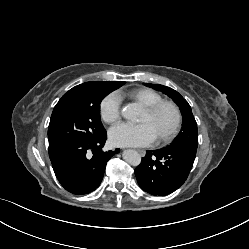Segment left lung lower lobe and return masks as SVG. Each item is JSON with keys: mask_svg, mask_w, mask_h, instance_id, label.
<instances>
[{"mask_svg": "<svg viewBox=\"0 0 249 249\" xmlns=\"http://www.w3.org/2000/svg\"><path fill=\"white\" fill-rule=\"evenodd\" d=\"M196 156L191 148H169L147 151L135 169L139 186L152 195H167L187 179Z\"/></svg>", "mask_w": 249, "mask_h": 249, "instance_id": "left-lung-lower-lobe-1", "label": "left lung lower lobe"}]
</instances>
